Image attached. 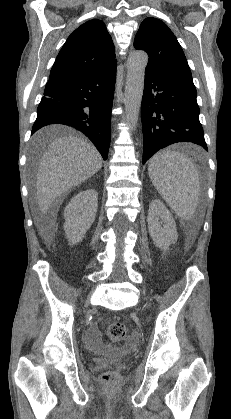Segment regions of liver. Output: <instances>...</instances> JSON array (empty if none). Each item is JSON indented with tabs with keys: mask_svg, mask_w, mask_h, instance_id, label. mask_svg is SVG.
Masks as SVG:
<instances>
[{
	"mask_svg": "<svg viewBox=\"0 0 231 419\" xmlns=\"http://www.w3.org/2000/svg\"><path fill=\"white\" fill-rule=\"evenodd\" d=\"M48 130L36 133L33 138L41 144ZM102 167V157L90 142L75 136H64L51 143L41 158L37 173L36 194L42 217L47 215L54 200L64 192L80 185ZM40 234L45 240L53 237V226L45 227L37 219Z\"/></svg>",
	"mask_w": 231,
	"mask_h": 419,
	"instance_id": "6515ba94",
	"label": "liver"
}]
</instances>
